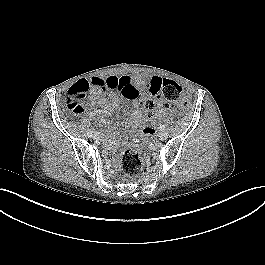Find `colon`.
I'll use <instances>...</instances> for the list:
<instances>
[{
  "label": "colon",
  "mask_w": 265,
  "mask_h": 265,
  "mask_svg": "<svg viewBox=\"0 0 265 265\" xmlns=\"http://www.w3.org/2000/svg\"><path fill=\"white\" fill-rule=\"evenodd\" d=\"M97 84L88 81L76 82L67 93V107L74 113H79L83 110V106L77 101L85 98L87 92L92 86ZM151 89L154 95L162 94L166 101V105L179 104L183 108H187L189 101L182 97V89L180 85L168 78L155 79L152 82ZM144 110L147 118H151L154 115L155 103L151 99H147L144 103ZM121 166L124 173L135 178L138 176L142 169V156L140 148L137 144H131L123 153L121 159Z\"/></svg>",
  "instance_id": "obj_1"
}]
</instances>
